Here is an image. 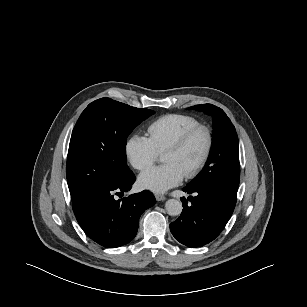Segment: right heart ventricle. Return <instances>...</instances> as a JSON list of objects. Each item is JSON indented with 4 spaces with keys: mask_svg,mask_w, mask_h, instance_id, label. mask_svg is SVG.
I'll use <instances>...</instances> for the list:
<instances>
[{
    "mask_svg": "<svg viewBox=\"0 0 307 307\" xmlns=\"http://www.w3.org/2000/svg\"><path fill=\"white\" fill-rule=\"evenodd\" d=\"M199 124L189 115L168 114L153 121L147 128L148 139L158 154L177 139L184 131Z\"/></svg>",
    "mask_w": 307,
    "mask_h": 307,
    "instance_id": "e07e8e85",
    "label": "right heart ventricle"
}]
</instances>
